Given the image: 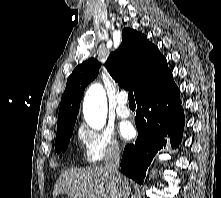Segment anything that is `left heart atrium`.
I'll use <instances>...</instances> for the list:
<instances>
[{"mask_svg": "<svg viewBox=\"0 0 221 198\" xmlns=\"http://www.w3.org/2000/svg\"><path fill=\"white\" fill-rule=\"evenodd\" d=\"M120 134L124 139H131L135 134V130L130 123H125L120 129Z\"/></svg>", "mask_w": 221, "mask_h": 198, "instance_id": "1", "label": "left heart atrium"}]
</instances>
